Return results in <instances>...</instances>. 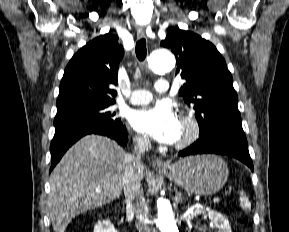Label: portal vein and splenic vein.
Masks as SVG:
<instances>
[{"instance_id":"obj_1","label":"portal vein and splenic vein","mask_w":289,"mask_h":232,"mask_svg":"<svg viewBox=\"0 0 289 232\" xmlns=\"http://www.w3.org/2000/svg\"><path fill=\"white\" fill-rule=\"evenodd\" d=\"M97 192H100V190H97ZM220 200H221V199H220L219 197H215V198L212 199V201H213L214 203H219Z\"/></svg>"}]
</instances>
